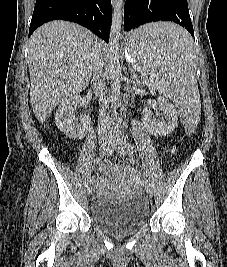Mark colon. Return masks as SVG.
Wrapping results in <instances>:
<instances>
[{
	"label": "colon",
	"mask_w": 227,
	"mask_h": 267,
	"mask_svg": "<svg viewBox=\"0 0 227 267\" xmlns=\"http://www.w3.org/2000/svg\"><path fill=\"white\" fill-rule=\"evenodd\" d=\"M192 116L196 115H182V113H177L176 117L178 118V124L182 125V130L186 131V135L184 139H188V136L195 135V123L191 120Z\"/></svg>",
	"instance_id": "colon-1"
}]
</instances>
